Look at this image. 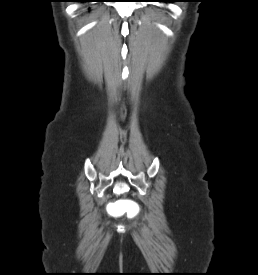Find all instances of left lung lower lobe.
<instances>
[{"instance_id": "obj_1", "label": "left lung lower lobe", "mask_w": 258, "mask_h": 275, "mask_svg": "<svg viewBox=\"0 0 258 275\" xmlns=\"http://www.w3.org/2000/svg\"><path fill=\"white\" fill-rule=\"evenodd\" d=\"M160 2H175V0H159Z\"/></svg>"}]
</instances>
